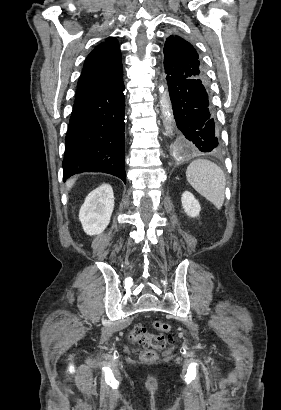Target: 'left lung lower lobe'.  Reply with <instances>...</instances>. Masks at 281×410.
Listing matches in <instances>:
<instances>
[{
  "instance_id": "left-lung-lower-lobe-1",
  "label": "left lung lower lobe",
  "mask_w": 281,
  "mask_h": 410,
  "mask_svg": "<svg viewBox=\"0 0 281 410\" xmlns=\"http://www.w3.org/2000/svg\"><path fill=\"white\" fill-rule=\"evenodd\" d=\"M166 79L181 143L196 151H217L220 141L206 81L172 76Z\"/></svg>"
}]
</instances>
